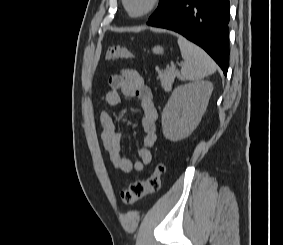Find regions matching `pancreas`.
Instances as JSON below:
<instances>
[{
    "label": "pancreas",
    "mask_w": 283,
    "mask_h": 245,
    "mask_svg": "<svg viewBox=\"0 0 283 245\" xmlns=\"http://www.w3.org/2000/svg\"><path fill=\"white\" fill-rule=\"evenodd\" d=\"M179 76V72L172 69H166L158 73V79L160 80L161 87L164 88L166 92H169L174 82L175 77Z\"/></svg>",
    "instance_id": "obj_1"
}]
</instances>
